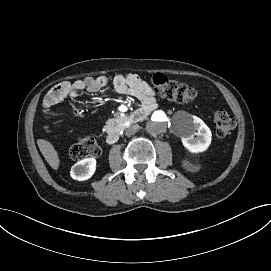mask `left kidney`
<instances>
[{
	"mask_svg": "<svg viewBox=\"0 0 271 271\" xmlns=\"http://www.w3.org/2000/svg\"><path fill=\"white\" fill-rule=\"evenodd\" d=\"M189 129L181 134V140L190 152L198 153L205 151L211 143V131L209 127L198 117H188ZM197 137H194V136Z\"/></svg>",
	"mask_w": 271,
	"mask_h": 271,
	"instance_id": "obj_1",
	"label": "left kidney"
}]
</instances>
